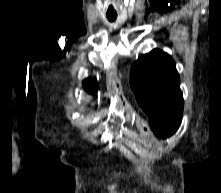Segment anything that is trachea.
Returning <instances> with one entry per match:
<instances>
[{"label": "trachea", "mask_w": 221, "mask_h": 193, "mask_svg": "<svg viewBox=\"0 0 221 193\" xmlns=\"http://www.w3.org/2000/svg\"><path fill=\"white\" fill-rule=\"evenodd\" d=\"M107 18L110 22H114L117 18V15H107Z\"/></svg>", "instance_id": "trachea-1"}]
</instances>
